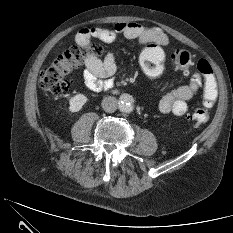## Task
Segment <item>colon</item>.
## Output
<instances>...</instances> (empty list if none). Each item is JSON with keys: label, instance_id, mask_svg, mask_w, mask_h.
Masks as SVG:
<instances>
[{"label": "colon", "instance_id": "5ec220e1", "mask_svg": "<svg viewBox=\"0 0 233 233\" xmlns=\"http://www.w3.org/2000/svg\"><path fill=\"white\" fill-rule=\"evenodd\" d=\"M101 52L102 48L97 44L77 45L68 48L41 71L40 88L54 96L67 94L72 85L69 74L79 68L89 55L97 56ZM172 60L176 67L181 70H188L192 65V56L184 49L176 50L172 54ZM164 62L165 54L161 46L154 42L145 44L140 55V65L148 77H158L163 71ZM196 70L202 75L205 84L203 105L189 116V120L194 126L199 127L209 120L208 109L213 106L217 98V86L212 67L207 60H198Z\"/></svg>", "mask_w": 233, "mask_h": 233}]
</instances>
